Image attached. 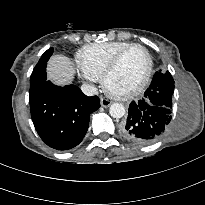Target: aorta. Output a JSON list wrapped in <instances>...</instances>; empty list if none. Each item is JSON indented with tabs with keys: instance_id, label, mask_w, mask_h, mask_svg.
I'll return each mask as SVG.
<instances>
[{
	"instance_id": "762f6f07",
	"label": "aorta",
	"mask_w": 205,
	"mask_h": 205,
	"mask_svg": "<svg viewBox=\"0 0 205 205\" xmlns=\"http://www.w3.org/2000/svg\"><path fill=\"white\" fill-rule=\"evenodd\" d=\"M109 113L113 118H122L125 115V107L121 103H113Z\"/></svg>"
}]
</instances>
